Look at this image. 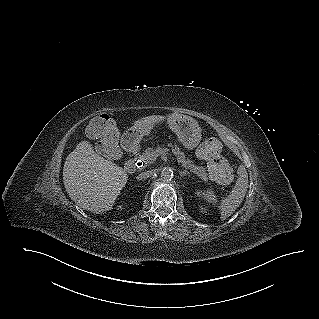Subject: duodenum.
<instances>
[{
	"mask_svg": "<svg viewBox=\"0 0 319 319\" xmlns=\"http://www.w3.org/2000/svg\"><path fill=\"white\" fill-rule=\"evenodd\" d=\"M122 146L131 155H136L138 153V143L137 140L132 136H125L122 140ZM126 173L132 174L137 169V162L134 159H129L123 166Z\"/></svg>",
	"mask_w": 319,
	"mask_h": 319,
	"instance_id": "410a0bca",
	"label": "duodenum"
}]
</instances>
